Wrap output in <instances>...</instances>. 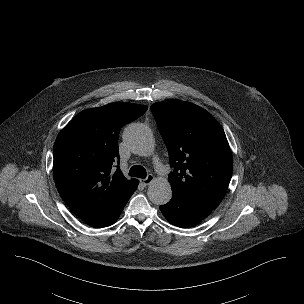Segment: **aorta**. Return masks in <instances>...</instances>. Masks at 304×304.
Here are the masks:
<instances>
[{
  "label": "aorta",
  "instance_id": "1",
  "mask_svg": "<svg viewBox=\"0 0 304 304\" xmlns=\"http://www.w3.org/2000/svg\"><path fill=\"white\" fill-rule=\"evenodd\" d=\"M131 151L141 156L150 155L155 147L151 130L144 124L129 125L123 133ZM148 197L156 205L167 204L172 197L171 185L166 179H157L148 187Z\"/></svg>",
  "mask_w": 304,
  "mask_h": 304
}]
</instances>
